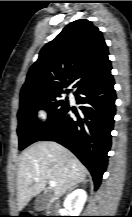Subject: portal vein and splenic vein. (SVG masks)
Returning <instances> with one entry per match:
<instances>
[{"label":"portal vein and splenic vein","mask_w":132,"mask_h":217,"mask_svg":"<svg viewBox=\"0 0 132 217\" xmlns=\"http://www.w3.org/2000/svg\"><path fill=\"white\" fill-rule=\"evenodd\" d=\"M38 177H36V179H37ZM50 183V187H54L55 185H56V183L54 182V181H50L49 182Z\"/></svg>","instance_id":"18ae733b"}]
</instances>
